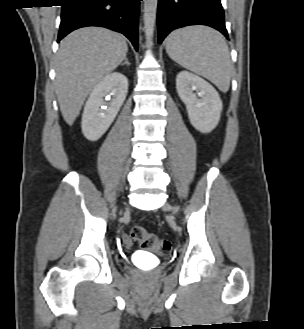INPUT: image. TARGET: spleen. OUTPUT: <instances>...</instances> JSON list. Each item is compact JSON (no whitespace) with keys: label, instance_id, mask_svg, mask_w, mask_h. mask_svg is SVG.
Masks as SVG:
<instances>
[{"label":"spleen","instance_id":"1","mask_svg":"<svg viewBox=\"0 0 304 329\" xmlns=\"http://www.w3.org/2000/svg\"><path fill=\"white\" fill-rule=\"evenodd\" d=\"M166 52L173 61L210 80L220 91L229 90L232 64L228 46L218 31L202 25L177 29L167 37Z\"/></svg>","mask_w":304,"mask_h":329}]
</instances>
